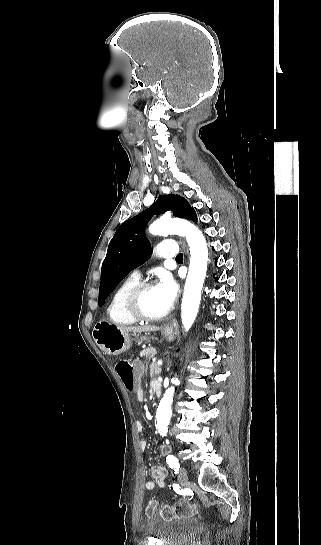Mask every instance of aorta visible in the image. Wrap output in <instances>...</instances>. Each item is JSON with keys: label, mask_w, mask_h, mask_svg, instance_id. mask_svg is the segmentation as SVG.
Wrapping results in <instances>:
<instances>
[{"label": "aorta", "mask_w": 321, "mask_h": 545, "mask_svg": "<svg viewBox=\"0 0 321 545\" xmlns=\"http://www.w3.org/2000/svg\"><path fill=\"white\" fill-rule=\"evenodd\" d=\"M149 232L158 236H185L190 247L191 257L181 307L182 324L187 331L197 316L207 272L208 248L205 237L195 225L182 219L160 218L150 225ZM172 383H178V379L173 378ZM174 391L173 386L165 391L156 413L157 429L161 436H166L168 432Z\"/></svg>", "instance_id": "762f6f07"}]
</instances>
